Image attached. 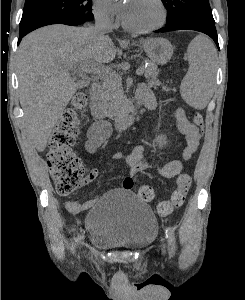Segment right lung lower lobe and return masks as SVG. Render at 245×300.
Listing matches in <instances>:
<instances>
[{"mask_svg": "<svg viewBox=\"0 0 245 300\" xmlns=\"http://www.w3.org/2000/svg\"><path fill=\"white\" fill-rule=\"evenodd\" d=\"M90 21H77V22H62L61 24H66V25H71V26H77L79 24H84V23H88ZM27 34V33H26ZM26 34H19V39H18V44L20 43L21 39L26 35Z\"/></svg>", "mask_w": 245, "mask_h": 300, "instance_id": "right-lung-lower-lobe-1", "label": "right lung lower lobe"}]
</instances>
